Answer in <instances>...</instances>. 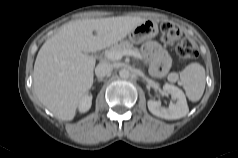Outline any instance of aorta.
I'll return each mask as SVG.
<instances>
[{"label":"aorta","mask_w":238,"mask_h":158,"mask_svg":"<svg viewBox=\"0 0 238 158\" xmlns=\"http://www.w3.org/2000/svg\"><path fill=\"white\" fill-rule=\"evenodd\" d=\"M119 76L122 78V79H128L130 77V72L128 69H121L119 71Z\"/></svg>","instance_id":"1"}]
</instances>
